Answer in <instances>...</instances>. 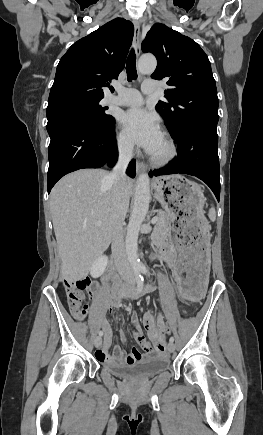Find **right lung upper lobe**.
Instances as JSON below:
<instances>
[{
	"instance_id": "obj_1",
	"label": "right lung upper lobe",
	"mask_w": 263,
	"mask_h": 435,
	"mask_svg": "<svg viewBox=\"0 0 263 435\" xmlns=\"http://www.w3.org/2000/svg\"><path fill=\"white\" fill-rule=\"evenodd\" d=\"M134 34L132 22L116 18L75 42L61 58L48 106L85 99H102L124 69Z\"/></svg>"
}]
</instances>
